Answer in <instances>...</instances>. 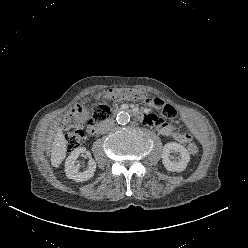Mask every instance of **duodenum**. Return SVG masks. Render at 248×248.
Wrapping results in <instances>:
<instances>
[{
  "instance_id": "duodenum-1",
  "label": "duodenum",
  "mask_w": 248,
  "mask_h": 248,
  "mask_svg": "<svg viewBox=\"0 0 248 248\" xmlns=\"http://www.w3.org/2000/svg\"><path fill=\"white\" fill-rule=\"evenodd\" d=\"M121 111L129 112V113H131L132 115H134L136 118H138L140 120H142V117L144 116V114L142 112L130 109L128 107H120V108L116 109L115 113H118V112H121ZM101 127H102V124H99L97 126V130H99Z\"/></svg>"
}]
</instances>
